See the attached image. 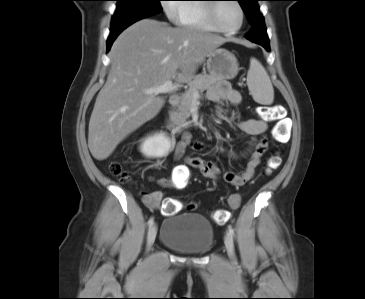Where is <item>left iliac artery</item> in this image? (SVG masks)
<instances>
[{
  "mask_svg": "<svg viewBox=\"0 0 365 299\" xmlns=\"http://www.w3.org/2000/svg\"><path fill=\"white\" fill-rule=\"evenodd\" d=\"M228 230H229V233H230L232 236H234V229H233L231 226H229V227H228Z\"/></svg>",
  "mask_w": 365,
  "mask_h": 299,
  "instance_id": "44dca946",
  "label": "left iliac artery"
}]
</instances>
